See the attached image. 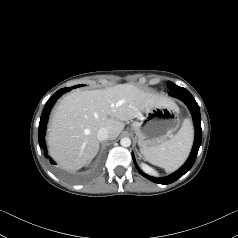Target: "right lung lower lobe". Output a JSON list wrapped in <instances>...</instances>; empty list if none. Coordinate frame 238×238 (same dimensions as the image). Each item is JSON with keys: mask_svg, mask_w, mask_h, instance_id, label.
<instances>
[{"mask_svg": "<svg viewBox=\"0 0 238 238\" xmlns=\"http://www.w3.org/2000/svg\"><path fill=\"white\" fill-rule=\"evenodd\" d=\"M77 88V86H73L70 88H62L60 90H58L46 103L43 112L41 114V118H40V123H39V134H38V139H39V144L40 147L44 150L45 153V157L49 158L50 163L51 164H55V162L48 156L47 151H46V146H45V142H44V136H45V130H46V124H47V119H48V115L49 112L53 106V104L56 102V100L64 93Z\"/></svg>", "mask_w": 238, "mask_h": 238, "instance_id": "1", "label": "right lung lower lobe"}]
</instances>
